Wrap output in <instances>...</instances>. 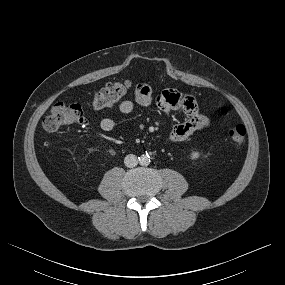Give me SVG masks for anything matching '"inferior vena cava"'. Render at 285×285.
<instances>
[{
	"mask_svg": "<svg viewBox=\"0 0 285 285\" xmlns=\"http://www.w3.org/2000/svg\"><path fill=\"white\" fill-rule=\"evenodd\" d=\"M124 163L127 167L133 168L138 164V159L135 155L129 154L125 157Z\"/></svg>",
	"mask_w": 285,
	"mask_h": 285,
	"instance_id": "1",
	"label": "inferior vena cava"
}]
</instances>
